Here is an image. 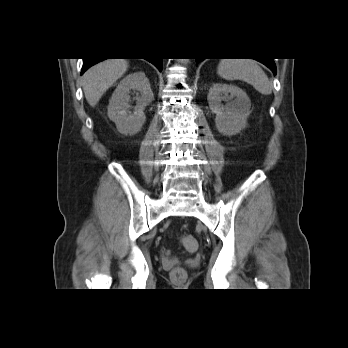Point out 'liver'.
<instances>
[{"label":"liver","mask_w":348,"mask_h":348,"mask_svg":"<svg viewBox=\"0 0 348 348\" xmlns=\"http://www.w3.org/2000/svg\"><path fill=\"white\" fill-rule=\"evenodd\" d=\"M128 66L126 59H106L86 71L82 85L90 106L99 102L102 95L126 73Z\"/></svg>","instance_id":"liver-1"}]
</instances>
